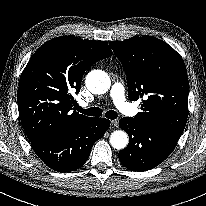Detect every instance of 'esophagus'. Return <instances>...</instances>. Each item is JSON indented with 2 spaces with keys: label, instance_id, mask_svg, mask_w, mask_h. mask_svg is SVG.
<instances>
[{
  "label": "esophagus",
  "instance_id": "1",
  "mask_svg": "<svg viewBox=\"0 0 206 206\" xmlns=\"http://www.w3.org/2000/svg\"><path fill=\"white\" fill-rule=\"evenodd\" d=\"M111 124H112L114 127H118V121H117V120H112V121H111Z\"/></svg>",
  "mask_w": 206,
  "mask_h": 206
}]
</instances>
